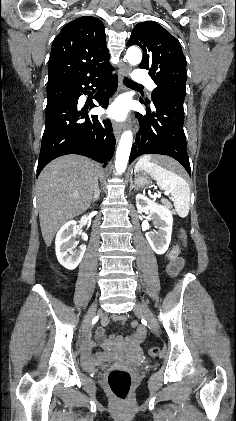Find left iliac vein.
I'll return each mask as SVG.
<instances>
[{
    "mask_svg": "<svg viewBox=\"0 0 236 421\" xmlns=\"http://www.w3.org/2000/svg\"><path fill=\"white\" fill-rule=\"evenodd\" d=\"M134 312L139 315L142 314L154 332L159 331L157 320L146 303L137 302Z\"/></svg>",
    "mask_w": 236,
    "mask_h": 421,
    "instance_id": "left-iliac-vein-1",
    "label": "left iliac vein"
}]
</instances>
